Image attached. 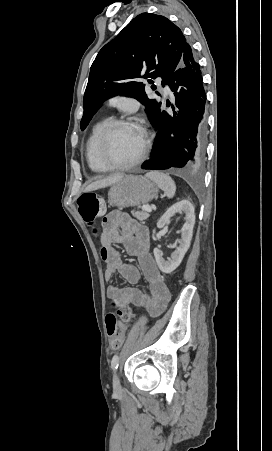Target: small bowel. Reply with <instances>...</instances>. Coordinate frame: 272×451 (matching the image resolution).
Wrapping results in <instances>:
<instances>
[{"label": "small bowel", "mask_w": 272, "mask_h": 451, "mask_svg": "<svg viewBox=\"0 0 272 451\" xmlns=\"http://www.w3.org/2000/svg\"><path fill=\"white\" fill-rule=\"evenodd\" d=\"M102 227L100 256L106 265L105 280L111 281L118 273L132 285L138 284L141 277L146 282L144 288L109 286L107 295L113 304L120 308L145 307L152 315L162 312L170 294L151 254L148 228L120 211L109 212L103 218ZM115 244H122L128 254L137 258L138 265L123 262Z\"/></svg>", "instance_id": "c3829d8e"}]
</instances>
